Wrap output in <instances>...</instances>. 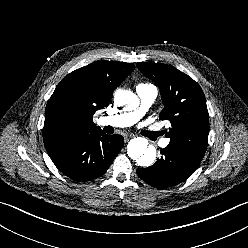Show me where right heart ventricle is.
<instances>
[{
    "label": "right heart ventricle",
    "instance_id": "1",
    "mask_svg": "<svg viewBox=\"0 0 248 248\" xmlns=\"http://www.w3.org/2000/svg\"><path fill=\"white\" fill-rule=\"evenodd\" d=\"M146 85H148V84H139L137 87H139V86H146Z\"/></svg>",
    "mask_w": 248,
    "mask_h": 248
}]
</instances>
